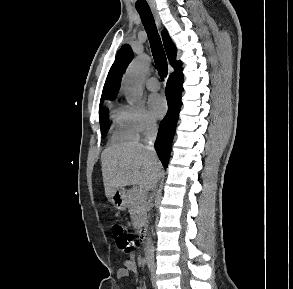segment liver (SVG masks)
<instances>
[{"mask_svg": "<svg viewBox=\"0 0 293 289\" xmlns=\"http://www.w3.org/2000/svg\"><path fill=\"white\" fill-rule=\"evenodd\" d=\"M102 175L107 198L124 186L139 185L146 192L161 176L162 166L145 145L137 141L122 142L101 154Z\"/></svg>", "mask_w": 293, "mask_h": 289, "instance_id": "liver-1", "label": "liver"}]
</instances>
